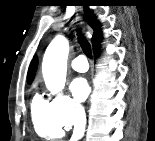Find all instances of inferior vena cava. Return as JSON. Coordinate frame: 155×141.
Here are the masks:
<instances>
[{
  "label": "inferior vena cava",
  "mask_w": 155,
  "mask_h": 141,
  "mask_svg": "<svg viewBox=\"0 0 155 141\" xmlns=\"http://www.w3.org/2000/svg\"><path fill=\"white\" fill-rule=\"evenodd\" d=\"M85 123H86L85 112L83 110H81L79 113V119L74 127L71 141H77L78 139H80L83 136L84 130H85Z\"/></svg>",
  "instance_id": "obj_1"
}]
</instances>
